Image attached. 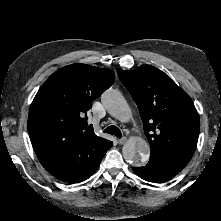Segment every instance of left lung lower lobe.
<instances>
[{"mask_svg":"<svg viewBox=\"0 0 221 221\" xmlns=\"http://www.w3.org/2000/svg\"><path fill=\"white\" fill-rule=\"evenodd\" d=\"M132 170L142 179L155 183L166 182L180 172L154 160H149L148 164L143 167H133Z\"/></svg>","mask_w":221,"mask_h":221,"instance_id":"left-lung-lower-lobe-1","label":"left lung lower lobe"}]
</instances>
